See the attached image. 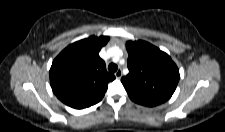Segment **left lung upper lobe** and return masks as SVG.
Returning <instances> with one entry per match:
<instances>
[{
  "mask_svg": "<svg viewBox=\"0 0 225 132\" xmlns=\"http://www.w3.org/2000/svg\"><path fill=\"white\" fill-rule=\"evenodd\" d=\"M126 48L129 74L121 82L131 100L156 106L170 99L180 77L170 56L145 41H128Z\"/></svg>",
  "mask_w": 225,
  "mask_h": 132,
  "instance_id": "obj_1",
  "label": "left lung upper lobe"
}]
</instances>
